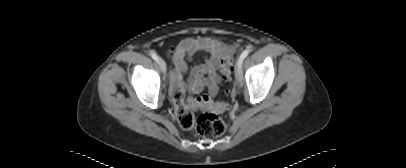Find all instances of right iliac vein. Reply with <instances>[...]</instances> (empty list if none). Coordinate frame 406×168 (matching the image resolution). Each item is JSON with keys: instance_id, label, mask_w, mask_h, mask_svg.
<instances>
[{"instance_id": "right-iliac-vein-1", "label": "right iliac vein", "mask_w": 406, "mask_h": 168, "mask_svg": "<svg viewBox=\"0 0 406 168\" xmlns=\"http://www.w3.org/2000/svg\"><path fill=\"white\" fill-rule=\"evenodd\" d=\"M159 66H160V68H161V71L163 72V73H165L166 72V63L164 62V60L162 59V58H159Z\"/></svg>"}]
</instances>
